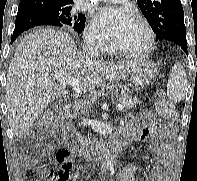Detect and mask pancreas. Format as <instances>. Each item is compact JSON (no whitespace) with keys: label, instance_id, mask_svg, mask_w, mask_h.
Returning a JSON list of instances; mask_svg holds the SVG:
<instances>
[{"label":"pancreas","instance_id":"1","mask_svg":"<svg viewBox=\"0 0 197 181\" xmlns=\"http://www.w3.org/2000/svg\"><path fill=\"white\" fill-rule=\"evenodd\" d=\"M119 102L124 105L125 108L135 107L138 103H141L137 97L123 93L119 99Z\"/></svg>","mask_w":197,"mask_h":181}]
</instances>
